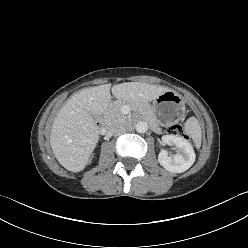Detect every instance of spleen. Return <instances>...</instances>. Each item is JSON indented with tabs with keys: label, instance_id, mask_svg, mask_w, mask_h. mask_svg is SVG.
Wrapping results in <instances>:
<instances>
[{
	"label": "spleen",
	"instance_id": "obj_1",
	"mask_svg": "<svg viewBox=\"0 0 248 248\" xmlns=\"http://www.w3.org/2000/svg\"><path fill=\"white\" fill-rule=\"evenodd\" d=\"M185 132L192 137L197 146L201 145L202 133L201 126L195 117H190L185 122Z\"/></svg>",
	"mask_w": 248,
	"mask_h": 248
}]
</instances>
